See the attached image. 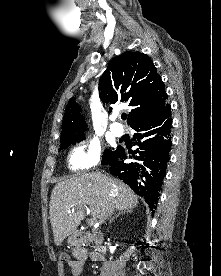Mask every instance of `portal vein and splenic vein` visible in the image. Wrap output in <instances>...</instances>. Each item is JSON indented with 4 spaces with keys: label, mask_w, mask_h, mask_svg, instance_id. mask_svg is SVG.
Here are the masks:
<instances>
[{
    "label": "portal vein and splenic vein",
    "mask_w": 221,
    "mask_h": 276,
    "mask_svg": "<svg viewBox=\"0 0 221 276\" xmlns=\"http://www.w3.org/2000/svg\"><path fill=\"white\" fill-rule=\"evenodd\" d=\"M74 209H72L73 211ZM70 212V211H69ZM90 225H95L96 224V220L95 219H91L89 222Z\"/></svg>",
    "instance_id": "portal-vein-and-splenic-vein-1"
}]
</instances>
